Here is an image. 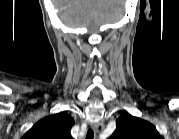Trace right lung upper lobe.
Listing matches in <instances>:
<instances>
[{"label": "right lung upper lobe", "instance_id": "obj_1", "mask_svg": "<svg viewBox=\"0 0 179 139\" xmlns=\"http://www.w3.org/2000/svg\"><path fill=\"white\" fill-rule=\"evenodd\" d=\"M74 124L66 113L47 116L38 121L24 136V139H71L70 129Z\"/></svg>", "mask_w": 179, "mask_h": 139}]
</instances>
